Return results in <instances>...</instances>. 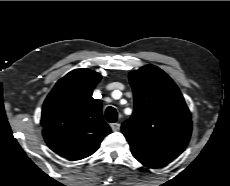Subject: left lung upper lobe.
<instances>
[{
    "mask_svg": "<svg viewBox=\"0 0 230 186\" xmlns=\"http://www.w3.org/2000/svg\"><path fill=\"white\" fill-rule=\"evenodd\" d=\"M135 108L122 124L135 158L167 164L187 146L192 122L184 98L160 68L146 65L130 72Z\"/></svg>",
    "mask_w": 230,
    "mask_h": 186,
    "instance_id": "left-lung-upper-lobe-1",
    "label": "left lung upper lobe"
}]
</instances>
